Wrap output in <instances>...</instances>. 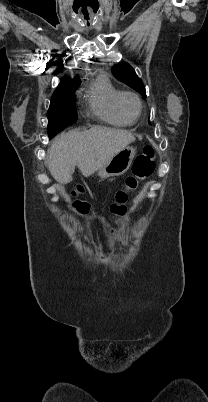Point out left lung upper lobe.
Instances as JSON below:
<instances>
[{
    "label": "left lung upper lobe",
    "instance_id": "1",
    "mask_svg": "<svg viewBox=\"0 0 208 402\" xmlns=\"http://www.w3.org/2000/svg\"><path fill=\"white\" fill-rule=\"evenodd\" d=\"M111 71L118 80L139 92L143 98L147 97L142 80L137 76L134 69L129 64L121 63L115 65L112 67Z\"/></svg>",
    "mask_w": 208,
    "mask_h": 402
}]
</instances>
